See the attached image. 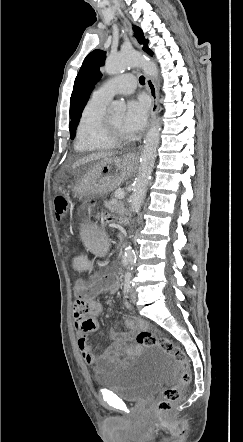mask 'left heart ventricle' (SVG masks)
Masks as SVG:
<instances>
[{"mask_svg": "<svg viewBox=\"0 0 243 442\" xmlns=\"http://www.w3.org/2000/svg\"><path fill=\"white\" fill-rule=\"evenodd\" d=\"M123 119H124L123 114H116V115L109 117V120H110L112 126L114 127V129L117 132L126 135V131L123 127Z\"/></svg>", "mask_w": 243, "mask_h": 442, "instance_id": "1", "label": "left heart ventricle"}]
</instances>
